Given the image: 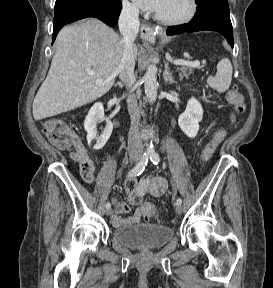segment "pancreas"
Here are the masks:
<instances>
[{
    "label": "pancreas",
    "mask_w": 273,
    "mask_h": 288,
    "mask_svg": "<svg viewBox=\"0 0 273 288\" xmlns=\"http://www.w3.org/2000/svg\"><path fill=\"white\" fill-rule=\"evenodd\" d=\"M177 71L179 72V77L180 78H188L190 74L193 73L192 68H187V67H182V68H177Z\"/></svg>",
    "instance_id": "1"
}]
</instances>
